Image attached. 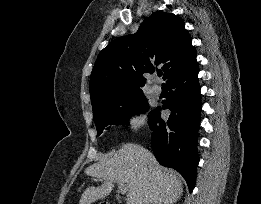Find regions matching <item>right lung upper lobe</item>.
<instances>
[{
	"label": "right lung upper lobe",
	"instance_id": "obj_1",
	"mask_svg": "<svg viewBox=\"0 0 261 204\" xmlns=\"http://www.w3.org/2000/svg\"><path fill=\"white\" fill-rule=\"evenodd\" d=\"M191 41L176 15L156 12L145 18L135 34L118 37L99 53L89 83L92 107L141 90L143 74L157 66L169 80L196 60Z\"/></svg>",
	"mask_w": 261,
	"mask_h": 204
}]
</instances>
